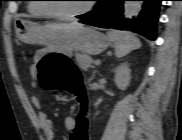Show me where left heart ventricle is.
<instances>
[{"label":"left heart ventricle","instance_id":"obj_1","mask_svg":"<svg viewBox=\"0 0 182 140\" xmlns=\"http://www.w3.org/2000/svg\"><path fill=\"white\" fill-rule=\"evenodd\" d=\"M62 2H59L56 4V7L66 13H72L81 10L85 5V1L83 0H60Z\"/></svg>","mask_w":182,"mask_h":140}]
</instances>
